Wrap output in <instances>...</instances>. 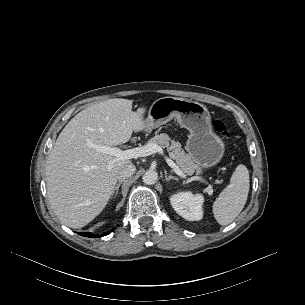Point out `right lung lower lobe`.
I'll return each mask as SVG.
<instances>
[{"label": "right lung lower lobe", "mask_w": 305, "mask_h": 305, "mask_svg": "<svg viewBox=\"0 0 305 305\" xmlns=\"http://www.w3.org/2000/svg\"><path fill=\"white\" fill-rule=\"evenodd\" d=\"M113 230H114V229H112L111 231H113ZM109 233H110V232H106L105 234H102V235H95V234H92V233L84 232V233H79V234L82 235V236H85V237L99 238V237L108 235Z\"/></svg>", "instance_id": "obj_1"}]
</instances>
